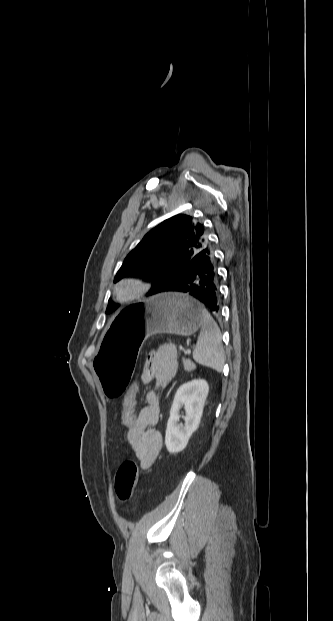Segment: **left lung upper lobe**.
<instances>
[{
  "label": "left lung upper lobe",
  "instance_id": "1",
  "mask_svg": "<svg viewBox=\"0 0 333 621\" xmlns=\"http://www.w3.org/2000/svg\"><path fill=\"white\" fill-rule=\"evenodd\" d=\"M210 241L204 226L192 216L175 215L148 232L127 255L117 272L114 282L129 275H142L151 279L152 287L147 296L155 295L171 280L180 275L189 261ZM118 305L109 299L106 313Z\"/></svg>",
  "mask_w": 333,
  "mask_h": 621
}]
</instances>
